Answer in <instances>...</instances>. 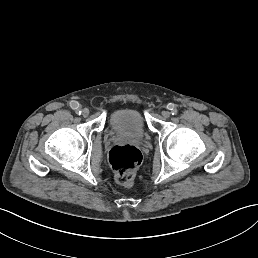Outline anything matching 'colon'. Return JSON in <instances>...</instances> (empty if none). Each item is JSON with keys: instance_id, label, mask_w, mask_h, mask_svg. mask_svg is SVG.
Returning <instances> with one entry per match:
<instances>
[{"instance_id": "colon-1", "label": "colon", "mask_w": 258, "mask_h": 258, "mask_svg": "<svg viewBox=\"0 0 258 258\" xmlns=\"http://www.w3.org/2000/svg\"><path fill=\"white\" fill-rule=\"evenodd\" d=\"M142 160L140 150L133 145H116L109 152V164L120 184L130 183Z\"/></svg>"}]
</instances>
